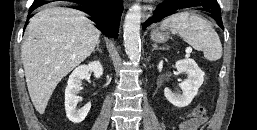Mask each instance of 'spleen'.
Here are the masks:
<instances>
[{"mask_svg":"<svg viewBox=\"0 0 257 130\" xmlns=\"http://www.w3.org/2000/svg\"><path fill=\"white\" fill-rule=\"evenodd\" d=\"M161 28L178 34L194 49L202 51L208 61L214 62L222 57L218 34L206 19L194 12L175 13L163 20Z\"/></svg>","mask_w":257,"mask_h":130,"instance_id":"3e777b00","label":"spleen"}]
</instances>
